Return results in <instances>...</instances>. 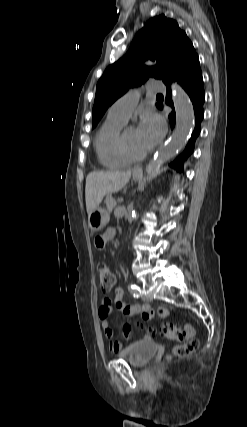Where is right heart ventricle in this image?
Here are the masks:
<instances>
[{
	"label": "right heart ventricle",
	"instance_id": "obj_1",
	"mask_svg": "<svg viewBox=\"0 0 247 427\" xmlns=\"http://www.w3.org/2000/svg\"><path fill=\"white\" fill-rule=\"evenodd\" d=\"M125 120L107 116L98 129L94 139V149L100 165L108 169H117L127 165L118 148L119 134Z\"/></svg>",
	"mask_w": 247,
	"mask_h": 427
}]
</instances>
